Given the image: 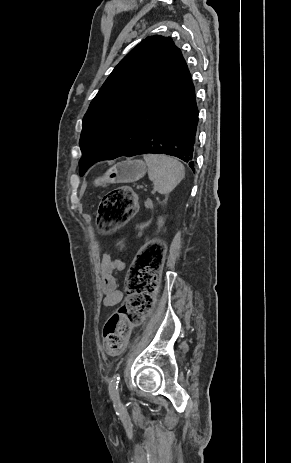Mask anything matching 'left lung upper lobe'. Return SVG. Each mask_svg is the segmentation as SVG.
Segmentation results:
<instances>
[{"label": "left lung upper lobe", "mask_w": 291, "mask_h": 463, "mask_svg": "<svg viewBox=\"0 0 291 463\" xmlns=\"http://www.w3.org/2000/svg\"><path fill=\"white\" fill-rule=\"evenodd\" d=\"M191 82L171 38L142 40L114 68L83 118L80 175L94 163L132 149Z\"/></svg>", "instance_id": "left-lung-upper-lobe-1"}]
</instances>
